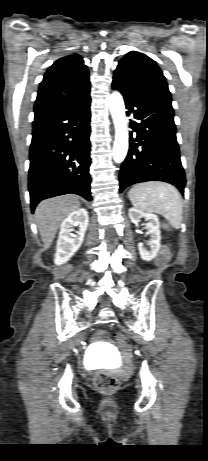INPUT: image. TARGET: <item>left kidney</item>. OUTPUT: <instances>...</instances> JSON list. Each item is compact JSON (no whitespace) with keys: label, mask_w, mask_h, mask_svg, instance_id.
Listing matches in <instances>:
<instances>
[{"label":"left kidney","mask_w":208,"mask_h":461,"mask_svg":"<svg viewBox=\"0 0 208 461\" xmlns=\"http://www.w3.org/2000/svg\"><path fill=\"white\" fill-rule=\"evenodd\" d=\"M128 215L133 224H138L141 218H145V220L148 221L146 223V229L151 237L150 250H146L142 243L138 244V249L143 260L151 261L156 257L160 249L161 234L158 216L153 213L140 211L136 208H130Z\"/></svg>","instance_id":"5707ae66"}]
</instances>
